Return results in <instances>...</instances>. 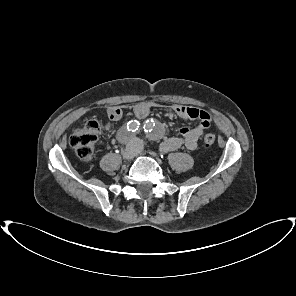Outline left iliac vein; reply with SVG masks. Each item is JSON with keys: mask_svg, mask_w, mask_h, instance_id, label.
Returning <instances> with one entry per match:
<instances>
[{"mask_svg": "<svg viewBox=\"0 0 296 296\" xmlns=\"http://www.w3.org/2000/svg\"><path fill=\"white\" fill-rule=\"evenodd\" d=\"M141 148H142L141 145H139V150H141Z\"/></svg>", "mask_w": 296, "mask_h": 296, "instance_id": "obj_1", "label": "left iliac vein"}]
</instances>
